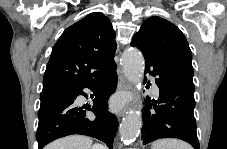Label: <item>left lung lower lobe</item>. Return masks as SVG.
Returning a JSON list of instances; mask_svg holds the SVG:
<instances>
[{
  "mask_svg": "<svg viewBox=\"0 0 227 149\" xmlns=\"http://www.w3.org/2000/svg\"><path fill=\"white\" fill-rule=\"evenodd\" d=\"M131 46L137 47L145 58V72L156 76L160 90L159 99L147 97L142 109L143 126L141 140L147 144L160 138H178L200 149L194 117V89L169 72L145 46L135 40Z\"/></svg>",
  "mask_w": 227,
  "mask_h": 149,
  "instance_id": "left-lung-lower-lobe-1",
  "label": "left lung lower lobe"
}]
</instances>
